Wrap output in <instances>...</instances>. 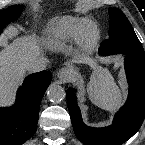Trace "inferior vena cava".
<instances>
[{
    "label": "inferior vena cava",
    "instance_id": "obj_1",
    "mask_svg": "<svg viewBox=\"0 0 145 145\" xmlns=\"http://www.w3.org/2000/svg\"><path fill=\"white\" fill-rule=\"evenodd\" d=\"M47 66V59L44 57H39L34 60L28 61L25 64V69L30 72H40L43 71Z\"/></svg>",
    "mask_w": 145,
    "mask_h": 145
}]
</instances>
